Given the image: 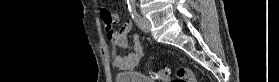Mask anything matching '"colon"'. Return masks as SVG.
I'll return each instance as SVG.
<instances>
[{
  "label": "colon",
  "instance_id": "obj_1",
  "mask_svg": "<svg viewBox=\"0 0 279 82\" xmlns=\"http://www.w3.org/2000/svg\"><path fill=\"white\" fill-rule=\"evenodd\" d=\"M100 15L106 27L107 26L111 27L113 25V19L111 18V15L107 9H102ZM169 76H170V70L166 67L152 72V78L157 82H167ZM193 81H194V75L190 69L180 68L177 71L175 82H193Z\"/></svg>",
  "mask_w": 279,
  "mask_h": 82
}]
</instances>
